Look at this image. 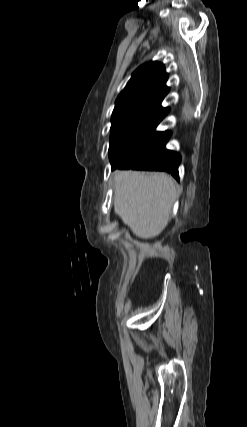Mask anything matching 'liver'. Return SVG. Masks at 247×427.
Wrapping results in <instances>:
<instances>
[{
	"label": "liver",
	"mask_w": 247,
	"mask_h": 427,
	"mask_svg": "<svg viewBox=\"0 0 247 427\" xmlns=\"http://www.w3.org/2000/svg\"><path fill=\"white\" fill-rule=\"evenodd\" d=\"M114 211L138 237L158 236L177 199L175 180L164 172L118 170L114 173Z\"/></svg>",
	"instance_id": "6515ba94"
}]
</instances>
